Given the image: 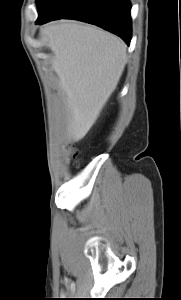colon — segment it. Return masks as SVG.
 <instances>
[{"instance_id": "5ec220e1", "label": "colon", "mask_w": 181, "mask_h": 300, "mask_svg": "<svg viewBox=\"0 0 181 300\" xmlns=\"http://www.w3.org/2000/svg\"><path fill=\"white\" fill-rule=\"evenodd\" d=\"M71 155H72V158H73L75 164H76V165H79L80 162H81V159H80V157H79V154H78L77 152H72Z\"/></svg>"}]
</instances>
